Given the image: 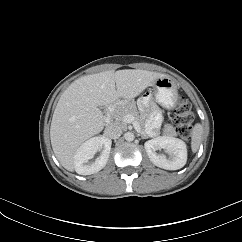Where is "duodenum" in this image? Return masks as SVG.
<instances>
[{"label":"duodenum","instance_id":"410a0bca","mask_svg":"<svg viewBox=\"0 0 242 242\" xmlns=\"http://www.w3.org/2000/svg\"><path fill=\"white\" fill-rule=\"evenodd\" d=\"M115 105H116V102L110 104L107 107L106 114H105V117H104L106 123H108L110 121V117H111L112 113L114 112Z\"/></svg>","mask_w":242,"mask_h":242}]
</instances>
